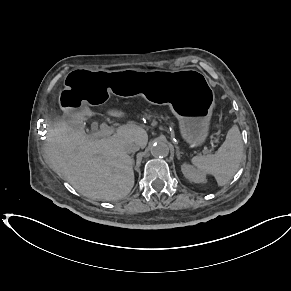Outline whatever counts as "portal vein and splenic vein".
<instances>
[{
  "instance_id": "1",
  "label": "portal vein and splenic vein",
  "mask_w": 291,
  "mask_h": 291,
  "mask_svg": "<svg viewBox=\"0 0 291 291\" xmlns=\"http://www.w3.org/2000/svg\"><path fill=\"white\" fill-rule=\"evenodd\" d=\"M116 129L117 128H114L112 126H108L107 124L103 123L100 126V130H98L95 133H93L92 137L93 138L106 137V136H109V135L113 134ZM207 151L208 150L205 149V152H207Z\"/></svg>"
}]
</instances>
